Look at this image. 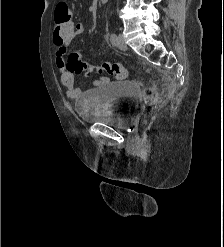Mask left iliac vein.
<instances>
[{"label":"left iliac vein","instance_id":"left-iliac-vein-1","mask_svg":"<svg viewBox=\"0 0 224 247\" xmlns=\"http://www.w3.org/2000/svg\"><path fill=\"white\" fill-rule=\"evenodd\" d=\"M117 47L123 51L128 49L127 44L125 42V38L122 34H119L117 36Z\"/></svg>","mask_w":224,"mask_h":247}]
</instances>
